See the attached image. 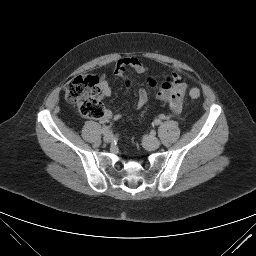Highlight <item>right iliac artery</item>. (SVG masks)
I'll return each mask as SVG.
<instances>
[{
  "label": "right iliac artery",
  "instance_id": "82829eb1",
  "mask_svg": "<svg viewBox=\"0 0 256 256\" xmlns=\"http://www.w3.org/2000/svg\"><path fill=\"white\" fill-rule=\"evenodd\" d=\"M110 131V126H104L101 130L102 134H107Z\"/></svg>",
  "mask_w": 256,
  "mask_h": 256
}]
</instances>
